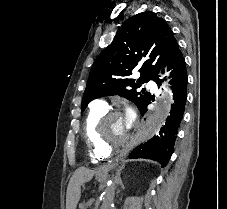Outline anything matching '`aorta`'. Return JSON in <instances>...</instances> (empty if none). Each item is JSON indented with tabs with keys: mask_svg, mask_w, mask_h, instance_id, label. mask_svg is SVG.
<instances>
[{
	"mask_svg": "<svg viewBox=\"0 0 227 209\" xmlns=\"http://www.w3.org/2000/svg\"><path fill=\"white\" fill-rule=\"evenodd\" d=\"M173 103L172 91L167 87L162 93L161 99L154 111L150 116L145 126L139 133V140L141 142L147 141L156 134L163 126ZM122 167L119 164L114 165L115 175L112 180L108 182L104 192L101 209H112L114 203L115 189L120 176Z\"/></svg>",
	"mask_w": 227,
	"mask_h": 209,
	"instance_id": "762f6f07",
	"label": "aorta"
}]
</instances>
